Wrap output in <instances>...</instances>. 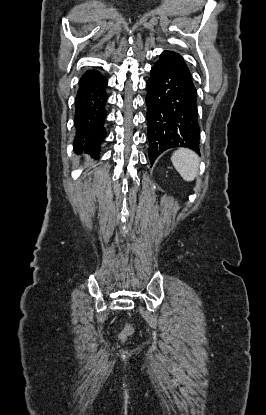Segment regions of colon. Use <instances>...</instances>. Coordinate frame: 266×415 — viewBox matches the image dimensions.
<instances>
[{
  "instance_id": "5ec220e1",
  "label": "colon",
  "mask_w": 266,
  "mask_h": 415,
  "mask_svg": "<svg viewBox=\"0 0 266 415\" xmlns=\"http://www.w3.org/2000/svg\"><path fill=\"white\" fill-rule=\"evenodd\" d=\"M133 333V328L127 325L120 333L119 337L122 341H125Z\"/></svg>"
}]
</instances>
